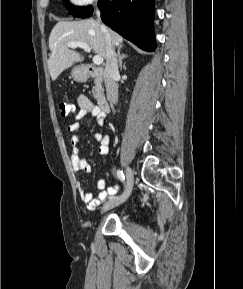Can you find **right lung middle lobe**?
<instances>
[{
	"mask_svg": "<svg viewBox=\"0 0 243 289\" xmlns=\"http://www.w3.org/2000/svg\"><path fill=\"white\" fill-rule=\"evenodd\" d=\"M63 2L65 4H67V7L70 8V13H75L76 11H78L81 7H77V6H74V7H71L69 4H68V0H63Z\"/></svg>",
	"mask_w": 243,
	"mask_h": 289,
	"instance_id": "obj_1",
	"label": "right lung middle lobe"
}]
</instances>
